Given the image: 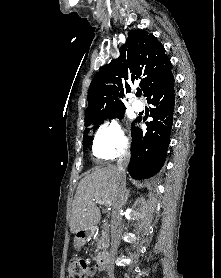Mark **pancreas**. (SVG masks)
Wrapping results in <instances>:
<instances>
[{
	"instance_id": "pancreas-1",
	"label": "pancreas",
	"mask_w": 221,
	"mask_h": 278,
	"mask_svg": "<svg viewBox=\"0 0 221 278\" xmlns=\"http://www.w3.org/2000/svg\"><path fill=\"white\" fill-rule=\"evenodd\" d=\"M108 229H103L101 233L100 239H97V248L95 253H99V250L103 247L106 248L107 246V234H108Z\"/></svg>"
}]
</instances>
